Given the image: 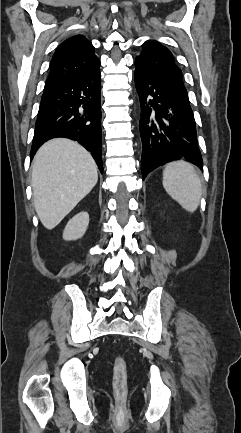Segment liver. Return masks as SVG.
Returning a JSON list of instances; mask_svg holds the SVG:
<instances>
[{
	"instance_id": "obj_1",
	"label": "liver",
	"mask_w": 241,
	"mask_h": 433,
	"mask_svg": "<svg viewBox=\"0 0 241 433\" xmlns=\"http://www.w3.org/2000/svg\"><path fill=\"white\" fill-rule=\"evenodd\" d=\"M97 165L78 143L53 139L37 151L32 162L34 207L43 226L51 230L93 189Z\"/></svg>"
}]
</instances>
